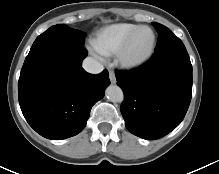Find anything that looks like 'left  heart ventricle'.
I'll use <instances>...</instances> for the list:
<instances>
[{
    "label": "left heart ventricle",
    "mask_w": 219,
    "mask_h": 174,
    "mask_svg": "<svg viewBox=\"0 0 219 174\" xmlns=\"http://www.w3.org/2000/svg\"><path fill=\"white\" fill-rule=\"evenodd\" d=\"M152 41V33L148 29L140 30L131 42L127 56L129 58H137L144 55L150 47Z\"/></svg>",
    "instance_id": "1"
}]
</instances>
